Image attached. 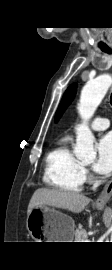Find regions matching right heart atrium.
Instances as JSON below:
<instances>
[{"mask_svg": "<svg viewBox=\"0 0 112 270\" xmlns=\"http://www.w3.org/2000/svg\"><path fill=\"white\" fill-rule=\"evenodd\" d=\"M85 174H86V175H88V172H87V171H85Z\"/></svg>", "mask_w": 112, "mask_h": 270, "instance_id": "d8ad5b80", "label": "right heart atrium"}]
</instances>
